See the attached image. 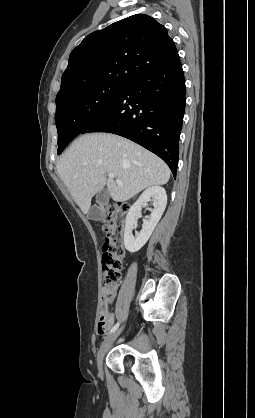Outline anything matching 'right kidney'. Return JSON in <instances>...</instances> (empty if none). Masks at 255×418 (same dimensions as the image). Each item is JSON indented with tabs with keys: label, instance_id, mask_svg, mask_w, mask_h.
<instances>
[{
	"label": "right kidney",
	"instance_id": "ca27d5eb",
	"mask_svg": "<svg viewBox=\"0 0 255 418\" xmlns=\"http://www.w3.org/2000/svg\"><path fill=\"white\" fill-rule=\"evenodd\" d=\"M153 200V210L149 219L143 221L142 229L134 237L133 229L137 227V217L141 212L142 206L150 199ZM167 204V195L163 187L152 186L147 188L138 200L131 206L127 217L124 231L125 248L131 252H137L148 241L156 225L161 219Z\"/></svg>",
	"mask_w": 255,
	"mask_h": 418
}]
</instances>
